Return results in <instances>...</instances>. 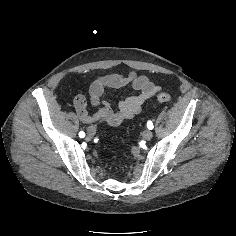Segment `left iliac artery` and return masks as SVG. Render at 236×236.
I'll list each match as a JSON object with an SVG mask.
<instances>
[{
    "label": "left iliac artery",
    "instance_id": "1",
    "mask_svg": "<svg viewBox=\"0 0 236 236\" xmlns=\"http://www.w3.org/2000/svg\"><path fill=\"white\" fill-rule=\"evenodd\" d=\"M147 127H148V129H150V130H152L153 129V123L151 122V121H148L147 122Z\"/></svg>",
    "mask_w": 236,
    "mask_h": 236
}]
</instances>
